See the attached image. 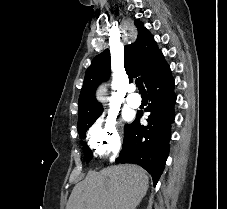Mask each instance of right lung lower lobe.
Listing matches in <instances>:
<instances>
[{"instance_id":"right-lung-lower-lobe-1","label":"right lung lower lobe","mask_w":227,"mask_h":209,"mask_svg":"<svg viewBox=\"0 0 227 209\" xmlns=\"http://www.w3.org/2000/svg\"><path fill=\"white\" fill-rule=\"evenodd\" d=\"M150 104L146 111L148 126L140 125L136 120L126 125L122 150L116 162L134 163L146 169L152 176L154 186L158 182L169 154L171 126L174 122V79L165 62L146 84Z\"/></svg>"}]
</instances>
